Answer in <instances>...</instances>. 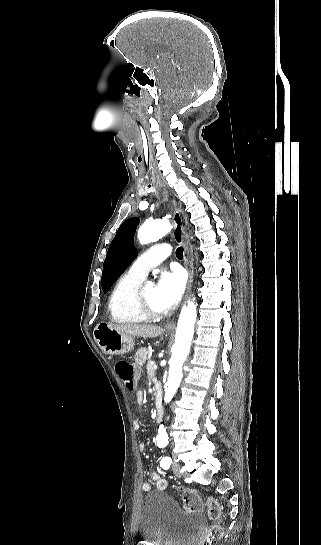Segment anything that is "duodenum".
<instances>
[{"mask_svg": "<svg viewBox=\"0 0 321 545\" xmlns=\"http://www.w3.org/2000/svg\"><path fill=\"white\" fill-rule=\"evenodd\" d=\"M154 397H155L156 406L158 408V416L160 419L162 416V409H163V391L160 385L155 386Z\"/></svg>", "mask_w": 321, "mask_h": 545, "instance_id": "obj_1", "label": "duodenum"}]
</instances>
